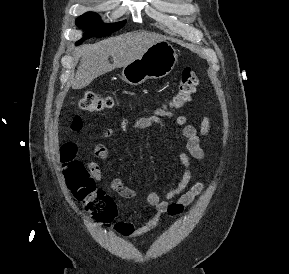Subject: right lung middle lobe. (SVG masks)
<instances>
[{
	"label": "right lung middle lobe",
	"instance_id": "right-lung-middle-lobe-1",
	"mask_svg": "<svg viewBox=\"0 0 289 274\" xmlns=\"http://www.w3.org/2000/svg\"><path fill=\"white\" fill-rule=\"evenodd\" d=\"M125 23H126V21H122V22H118V23L102 25L98 15L95 13H92V12L85 13L76 20L77 26L83 27L86 29L85 37L108 36L111 33L122 28ZM83 40L84 39L76 42V44L78 45V44L82 43Z\"/></svg>",
	"mask_w": 289,
	"mask_h": 274
}]
</instances>
